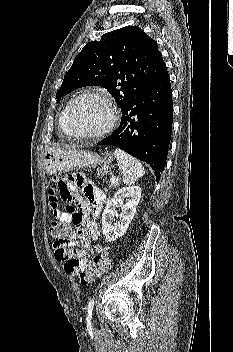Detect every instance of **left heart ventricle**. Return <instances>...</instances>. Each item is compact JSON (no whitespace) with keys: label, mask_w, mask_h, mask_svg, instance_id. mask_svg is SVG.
<instances>
[{"label":"left heart ventricle","mask_w":233,"mask_h":352,"mask_svg":"<svg viewBox=\"0 0 233 352\" xmlns=\"http://www.w3.org/2000/svg\"><path fill=\"white\" fill-rule=\"evenodd\" d=\"M110 117V109L104 102L85 98L79 101L72 111V128L77 133H94L102 129Z\"/></svg>","instance_id":"b2bd125f"}]
</instances>
